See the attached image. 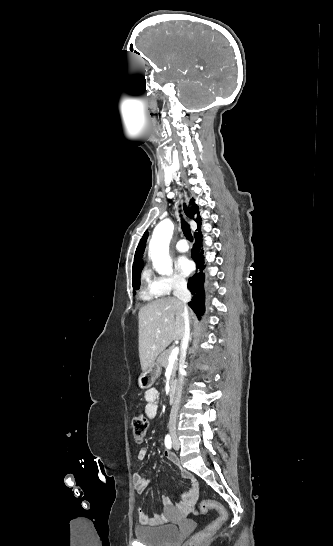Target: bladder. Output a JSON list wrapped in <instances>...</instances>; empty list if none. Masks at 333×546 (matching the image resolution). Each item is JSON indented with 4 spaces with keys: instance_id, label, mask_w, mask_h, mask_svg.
<instances>
[{
    "instance_id": "bladder-1",
    "label": "bladder",
    "mask_w": 333,
    "mask_h": 546,
    "mask_svg": "<svg viewBox=\"0 0 333 546\" xmlns=\"http://www.w3.org/2000/svg\"><path fill=\"white\" fill-rule=\"evenodd\" d=\"M134 534L138 541L147 546H172L178 539L180 530L175 524H163L137 527Z\"/></svg>"
}]
</instances>
